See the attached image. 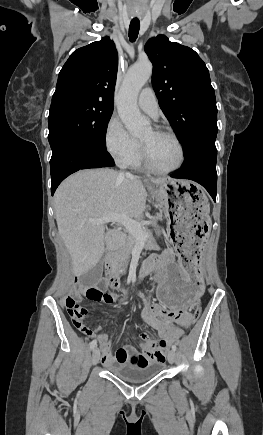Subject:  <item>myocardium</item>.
Instances as JSON below:
<instances>
[{"instance_id":"myocardium-1","label":"myocardium","mask_w":263,"mask_h":435,"mask_svg":"<svg viewBox=\"0 0 263 435\" xmlns=\"http://www.w3.org/2000/svg\"><path fill=\"white\" fill-rule=\"evenodd\" d=\"M153 131L158 135L170 137L176 143V145L178 146L179 152H180V159H179L178 164L172 168L159 169L153 165V163L151 162L150 156L148 154L146 146L143 143H141L144 166L149 171L156 173V174H169V173H172L174 171H177L178 169H180L183 166V164L185 162V149H184L183 143L181 142L179 137L175 133H173L172 131H169L167 129L160 128V127L155 128Z\"/></svg>"}]
</instances>
